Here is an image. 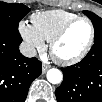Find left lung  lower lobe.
Returning a JSON list of instances; mask_svg holds the SVG:
<instances>
[{
  "label": "left lung lower lobe",
  "instance_id": "1",
  "mask_svg": "<svg viewBox=\"0 0 102 102\" xmlns=\"http://www.w3.org/2000/svg\"><path fill=\"white\" fill-rule=\"evenodd\" d=\"M61 70L64 79L56 89L58 102H102V40L81 62Z\"/></svg>",
  "mask_w": 102,
  "mask_h": 102
}]
</instances>
